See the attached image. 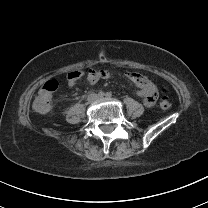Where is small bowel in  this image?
Here are the masks:
<instances>
[{"mask_svg": "<svg viewBox=\"0 0 208 208\" xmlns=\"http://www.w3.org/2000/svg\"><path fill=\"white\" fill-rule=\"evenodd\" d=\"M110 69V67H109ZM88 73V78L91 82H96L97 80L109 76V71L107 70H97L93 71L91 67L86 69ZM126 77L134 81L140 87V91L137 93L143 100L146 107H151L157 96V90L153 82L144 74L128 71L126 72ZM70 86V85H69ZM74 87V86H70Z\"/></svg>", "mask_w": 208, "mask_h": 208, "instance_id": "c3829d8e", "label": "small bowel"}]
</instances>
